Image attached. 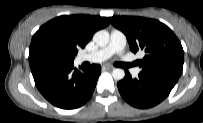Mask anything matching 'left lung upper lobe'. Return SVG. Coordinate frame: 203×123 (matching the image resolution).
<instances>
[{
	"label": "left lung upper lobe",
	"instance_id": "5c2ea615",
	"mask_svg": "<svg viewBox=\"0 0 203 123\" xmlns=\"http://www.w3.org/2000/svg\"><path fill=\"white\" fill-rule=\"evenodd\" d=\"M109 20L126 35L132 52H145L144 58L138 60L142 71L164 72L180 77L184 52L168 26L154 19L134 16H113Z\"/></svg>",
	"mask_w": 203,
	"mask_h": 123
}]
</instances>
